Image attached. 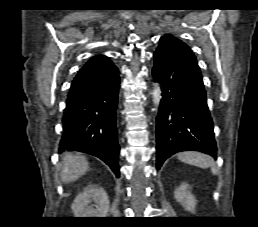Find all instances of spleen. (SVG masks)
<instances>
[{
    "mask_svg": "<svg viewBox=\"0 0 258 227\" xmlns=\"http://www.w3.org/2000/svg\"><path fill=\"white\" fill-rule=\"evenodd\" d=\"M178 159L194 166H198L200 168H211L213 174H217V168L213 159L203 153L200 152H183L178 154Z\"/></svg>",
    "mask_w": 258,
    "mask_h": 227,
    "instance_id": "1",
    "label": "spleen"
}]
</instances>
